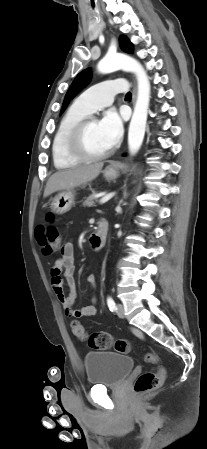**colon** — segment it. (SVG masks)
Segmentation results:
<instances>
[{"instance_id":"1","label":"colon","mask_w":207,"mask_h":449,"mask_svg":"<svg viewBox=\"0 0 207 449\" xmlns=\"http://www.w3.org/2000/svg\"><path fill=\"white\" fill-rule=\"evenodd\" d=\"M36 238L43 254L47 256L53 255L61 244L59 230L53 225H39L36 229ZM71 329L76 338L87 340L89 346L93 349L106 350L113 348L121 354H129L132 351L129 341L115 339L107 332H94L87 335L85 328L78 321L72 322ZM144 359L147 363L158 365V369L156 371H145L139 375L134 384V390L137 394H145L156 390L165 375V370L160 366V360L156 355L147 353Z\"/></svg>"}]
</instances>
